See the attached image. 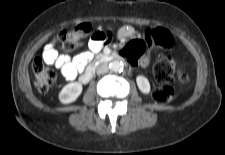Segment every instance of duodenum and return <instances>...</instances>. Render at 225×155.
I'll return each mask as SVG.
<instances>
[{
    "label": "duodenum",
    "instance_id": "duodenum-1",
    "mask_svg": "<svg viewBox=\"0 0 225 155\" xmlns=\"http://www.w3.org/2000/svg\"><path fill=\"white\" fill-rule=\"evenodd\" d=\"M120 59H122V56L118 53H106V54L99 55L94 60V62L82 74V76L80 78L81 82L88 83L92 79V77L95 73V70L98 66L103 65L108 62H111V61L120 60Z\"/></svg>",
    "mask_w": 225,
    "mask_h": 155
}]
</instances>
